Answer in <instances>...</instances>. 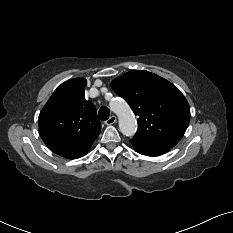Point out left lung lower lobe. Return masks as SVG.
<instances>
[{
	"mask_svg": "<svg viewBox=\"0 0 233 233\" xmlns=\"http://www.w3.org/2000/svg\"><path fill=\"white\" fill-rule=\"evenodd\" d=\"M131 143L133 144V147L136 152L146 156H158L169 151V148L164 146L144 144L133 141H131Z\"/></svg>",
	"mask_w": 233,
	"mask_h": 233,
	"instance_id": "obj_1",
	"label": "left lung lower lobe"
}]
</instances>
